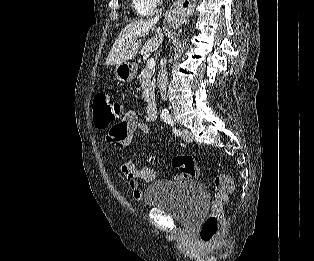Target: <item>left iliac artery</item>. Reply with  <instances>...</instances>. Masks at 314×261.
Listing matches in <instances>:
<instances>
[{
  "label": "left iliac artery",
  "instance_id": "left-iliac-artery-1",
  "mask_svg": "<svg viewBox=\"0 0 314 261\" xmlns=\"http://www.w3.org/2000/svg\"><path fill=\"white\" fill-rule=\"evenodd\" d=\"M166 122L172 126V130H173V133H174L175 135H177V136H180V135H181L180 130L177 129L176 127H174V122H173V120H172L171 118H168V119L166 120Z\"/></svg>",
  "mask_w": 314,
  "mask_h": 261
}]
</instances>
